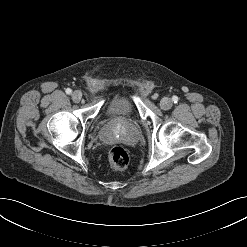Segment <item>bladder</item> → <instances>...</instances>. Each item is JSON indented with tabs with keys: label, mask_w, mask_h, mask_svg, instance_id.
Masks as SVG:
<instances>
[{
	"label": "bladder",
	"mask_w": 247,
	"mask_h": 247,
	"mask_svg": "<svg viewBox=\"0 0 247 247\" xmlns=\"http://www.w3.org/2000/svg\"><path fill=\"white\" fill-rule=\"evenodd\" d=\"M132 109V102L126 95H117L109 100L104 117L109 123H117L122 117L130 115Z\"/></svg>",
	"instance_id": "31cf9c89"
}]
</instances>
